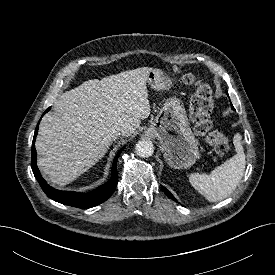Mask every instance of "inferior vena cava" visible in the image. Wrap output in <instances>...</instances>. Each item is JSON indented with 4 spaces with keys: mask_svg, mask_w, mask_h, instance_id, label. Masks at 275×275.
Returning <instances> with one entry per match:
<instances>
[{
    "mask_svg": "<svg viewBox=\"0 0 275 275\" xmlns=\"http://www.w3.org/2000/svg\"><path fill=\"white\" fill-rule=\"evenodd\" d=\"M126 134H127V130L124 128H121L116 132L117 136H120V135L125 136Z\"/></svg>",
    "mask_w": 275,
    "mask_h": 275,
    "instance_id": "obj_1",
    "label": "inferior vena cava"
}]
</instances>
